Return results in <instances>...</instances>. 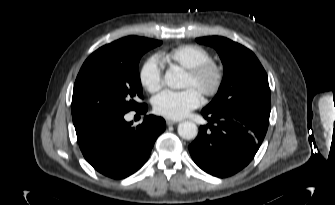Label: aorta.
I'll list each match as a JSON object with an SVG mask.
<instances>
[{
  "label": "aorta",
  "mask_w": 335,
  "mask_h": 205,
  "mask_svg": "<svg viewBox=\"0 0 335 205\" xmlns=\"http://www.w3.org/2000/svg\"><path fill=\"white\" fill-rule=\"evenodd\" d=\"M164 81L172 89H180L184 86L182 73L175 66L166 71ZM178 134L186 140L194 139L198 135L197 125L191 121H184L178 125Z\"/></svg>",
  "instance_id": "762f6f07"
}]
</instances>
